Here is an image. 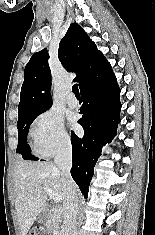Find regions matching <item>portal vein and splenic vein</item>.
<instances>
[{"label":"portal vein and splenic vein","instance_id":"1","mask_svg":"<svg viewBox=\"0 0 155 235\" xmlns=\"http://www.w3.org/2000/svg\"><path fill=\"white\" fill-rule=\"evenodd\" d=\"M44 191H45V192L47 193V195H49L50 198H52L55 202H61L62 197H61L58 193L54 192L52 189L47 188V187H44Z\"/></svg>","mask_w":155,"mask_h":235}]
</instances>
